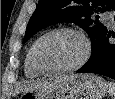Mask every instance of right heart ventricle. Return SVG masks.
<instances>
[{"label":"right heart ventricle","instance_id":"right-heart-ventricle-1","mask_svg":"<svg viewBox=\"0 0 115 99\" xmlns=\"http://www.w3.org/2000/svg\"><path fill=\"white\" fill-rule=\"evenodd\" d=\"M24 73H25L26 77H28L30 79H34V78L40 77L42 75V73L39 72L33 64L32 47H30V49L28 50L26 57H25Z\"/></svg>","mask_w":115,"mask_h":99}]
</instances>
